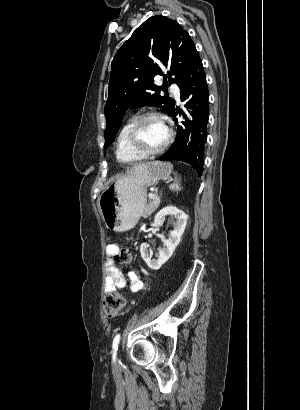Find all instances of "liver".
<instances>
[{"label": "liver", "mask_w": 300, "mask_h": 410, "mask_svg": "<svg viewBox=\"0 0 300 410\" xmlns=\"http://www.w3.org/2000/svg\"><path fill=\"white\" fill-rule=\"evenodd\" d=\"M142 165H145V164H142ZM142 165H138V166H135V167H133V168H136V167H139V166H142Z\"/></svg>", "instance_id": "obj_1"}]
</instances>
